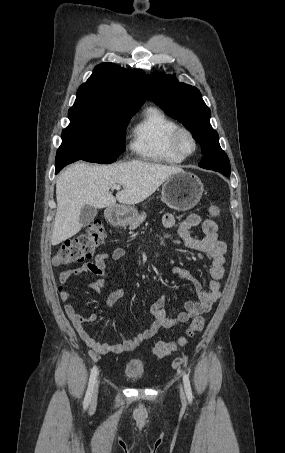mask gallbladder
I'll return each mask as SVG.
<instances>
[{
    "mask_svg": "<svg viewBox=\"0 0 285 453\" xmlns=\"http://www.w3.org/2000/svg\"><path fill=\"white\" fill-rule=\"evenodd\" d=\"M96 215H97V208H95L91 205L84 206L81 210L80 217H79L80 223L82 224V226H87L94 220Z\"/></svg>",
    "mask_w": 285,
    "mask_h": 453,
    "instance_id": "obj_1",
    "label": "gallbladder"
}]
</instances>
